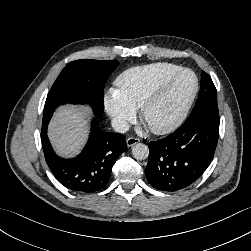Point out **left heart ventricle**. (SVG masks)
Segmentation results:
<instances>
[{
  "label": "left heart ventricle",
  "instance_id": "left-heart-ventricle-1",
  "mask_svg": "<svg viewBox=\"0 0 251 251\" xmlns=\"http://www.w3.org/2000/svg\"><path fill=\"white\" fill-rule=\"evenodd\" d=\"M194 85L190 74L180 75L165 91L162 97L151 106L145 116L149 127H160L170 123L181 111Z\"/></svg>",
  "mask_w": 251,
  "mask_h": 251
}]
</instances>
